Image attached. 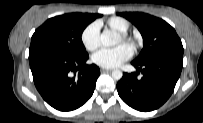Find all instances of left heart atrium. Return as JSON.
Masks as SVG:
<instances>
[{
    "instance_id": "39dd6f15",
    "label": "left heart atrium",
    "mask_w": 203,
    "mask_h": 123,
    "mask_svg": "<svg viewBox=\"0 0 203 123\" xmlns=\"http://www.w3.org/2000/svg\"><path fill=\"white\" fill-rule=\"evenodd\" d=\"M133 50L126 44H120L114 48H101L92 55V61L103 68H115L129 60Z\"/></svg>"
}]
</instances>
